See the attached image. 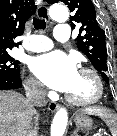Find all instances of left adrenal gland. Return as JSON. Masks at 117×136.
Wrapping results in <instances>:
<instances>
[{"label": "left adrenal gland", "instance_id": "a2214340", "mask_svg": "<svg viewBox=\"0 0 117 136\" xmlns=\"http://www.w3.org/2000/svg\"><path fill=\"white\" fill-rule=\"evenodd\" d=\"M72 136H78V129H75Z\"/></svg>", "mask_w": 117, "mask_h": 136}]
</instances>
